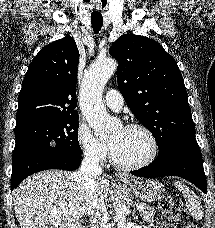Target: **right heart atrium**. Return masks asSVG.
Instances as JSON below:
<instances>
[{
	"label": "right heart atrium",
	"mask_w": 215,
	"mask_h": 228,
	"mask_svg": "<svg viewBox=\"0 0 215 228\" xmlns=\"http://www.w3.org/2000/svg\"><path fill=\"white\" fill-rule=\"evenodd\" d=\"M75 140L81 155L89 162L103 163L108 155L107 144L100 141L85 122L79 121L75 130Z\"/></svg>",
	"instance_id": "right-heart-atrium-1"
}]
</instances>
